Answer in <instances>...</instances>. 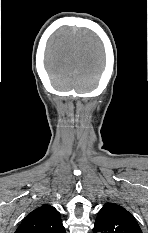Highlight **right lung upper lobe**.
Here are the masks:
<instances>
[{
	"label": "right lung upper lobe",
	"instance_id": "right-lung-upper-lobe-1",
	"mask_svg": "<svg viewBox=\"0 0 148 233\" xmlns=\"http://www.w3.org/2000/svg\"><path fill=\"white\" fill-rule=\"evenodd\" d=\"M15 233H65L60 213L44 204L28 214Z\"/></svg>",
	"mask_w": 148,
	"mask_h": 233
}]
</instances>
